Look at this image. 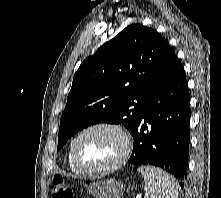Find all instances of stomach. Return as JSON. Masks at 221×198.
I'll return each mask as SVG.
<instances>
[{
  "mask_svg": "<svg viewBox=\"0 0 221 198\" xmlns=\"http://www.w3.org/2000/svg\"><path fill=\"white\" fill-rule=\"evenodd\" d=\"M88 190L95 198H121L126 192L125 187L113 179L94 182L88 186Z\"/></svg>",
  "mask_w": 221,
  "mask_h": 198,
  "instance_id": "stomach-1",
  "label": "stomach"
}]
</instances>
